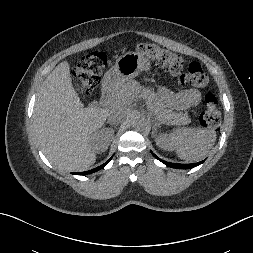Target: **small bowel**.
<instances>
[{
  "mask_svg": "<svg viewBox=\"0 0 253 253\" xmlns=\"http://www.w3.org/2000/svg\"><path fill=\"white\" fill-rule=\"evenodd\" d=\"M159 94L170 108L176 110H186L196 107L201 100L199 91L195 89H187L175 93L165 87H161Z\"/></svg>",
  "mask_w": 253,
  "mask_h": 253,
  "instance_id": "small-bowel-1",
  "label": "small bowel"
}]
</instances>
